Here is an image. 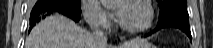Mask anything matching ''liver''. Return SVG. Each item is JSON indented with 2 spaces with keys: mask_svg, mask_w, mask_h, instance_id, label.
Returning a JSON list of instances; mask_svg holds the SVG:
<instances>
[{
  "mask_svg": "<svg viewBox=\"0 0 213 48\" xmlns=\"http://www.w3.org/2000/svg\"><path fill=\"white\" fill-rule=\"evenodd\" d=\"M148 44L134 40L119 48H135ZM25 48H109L100 45L87 30L62 15H52L40 21L26 38Z\"/></svg>",
  "mask_w": 213,
  "mask_h": 48,
  "instance_id": "liver-1",
  "label": "liver"
}]
</instances>
